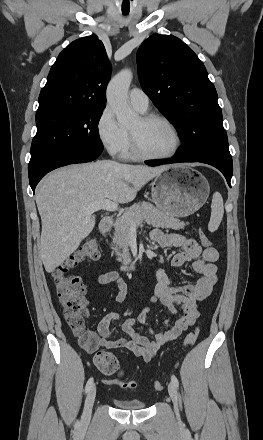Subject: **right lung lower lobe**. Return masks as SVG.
Masks as SVG:
<instances>
[{
	"label": "right lung lower lobe",
	"instance_id": "obj_1",
	"mask_svg": "<svg viewBox=\"0 0 263 440\" xmlns=\"http://www.w3.org/2000/svg\"><path fill=\"white\" fill-rule=\"evenodd\" d=\"M102 150H103V146L101 144L98 146H90L82 150H78L79 154L77 159H71L68 156V154L65 153H61L60 155L56 156L55 158L50 160L43 168L29 175V183L33 192H35V187L38 184V182L48 172L69 164L93 161L101 154Z\"/></svg>",
	"mask_w": 263,
	"mask_h": 440
}]
</instances>
